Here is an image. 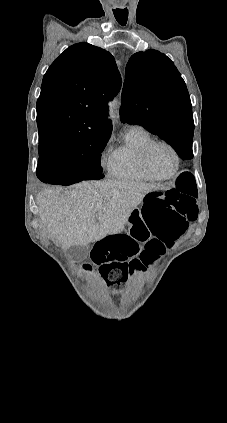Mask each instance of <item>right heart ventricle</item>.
I'll return each mask as SVG.
<instances>
[{
	"label": "right heart ventricle",
	"mask_w": 227,
	"mask_h": 423,
	"mask_svg": "<svg viewBox=\"0 0 227 423\" xmlns=\"http://www.w3.org/2000/svg\"><path fill=\"white\" fill-rule=\"evenodd\" d=\"M152 137L141 127H129L124 134L123 143L111 154L109 172L111 176L137 182H153L141 163V151Z\"/></svg>",
	"instance_id": "right-heart-ventricle-1"
}]
</instances>
